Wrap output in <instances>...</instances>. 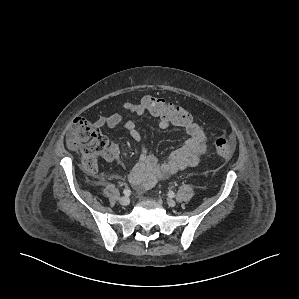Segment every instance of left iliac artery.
<instances>
[{
	"mask_svg": "<svg viewBox=\"0 0 299 299\" xmlns=\"http://www.w3.org/2000/svg\"><path fill=\"white\" fill-rule=\"evenodd\" d=\"M168 195H169L170 198H173L175 196V193L173 191H171V192L168 193Z\"/></svg>",
	"mask_w": 299,
	"mask_h": 299,
	"instance_id": "44dca946",
	"label": "left iliac artery"
}]
</instances>
